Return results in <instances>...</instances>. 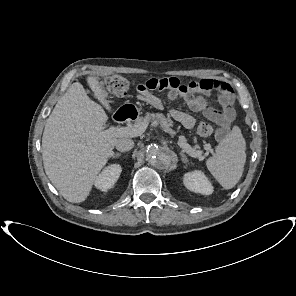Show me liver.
<instances>
[{
    "label": "liver",
    "instance_id": "1",
    "mask_svg": "<svg viewBox=\"0 0 296 296\" xmlns=\"http://www.w3.org/2000/svg\"><path fill=\"white\" fill-rule=\"evenodd\" d=\"M87 83L110 110L98 78L88 76ZM107 120L103 107L88 97L79 82L70 85L47 119L42 136L44 169L69 202L86 200L98 173L113 155L118 138L103 133Z\"/></svg>",
    "mask_w": 296,
    "mask_h": 296
}]
</instances>
